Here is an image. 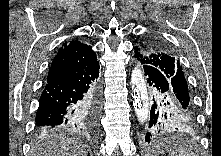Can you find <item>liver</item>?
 Segmentation results:
<instances>
[{"label": "liver", "instance_id": "1", "mask_svg": "<svg viewBox=\"0 0 221 156\" xmlns=\"http://www.w3.org/2000/svg\"><path fill=\"white\" fill-rule=\"evenodd\" d=\"M33 156H87L88 146L77 137L53 135L32 147Z\"/></svg>", "mask_w": 221, "mask_h": 156}]
</instances>
